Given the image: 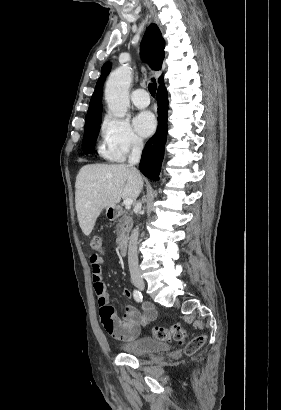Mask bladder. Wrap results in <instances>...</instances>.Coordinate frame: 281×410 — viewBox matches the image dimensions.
Returning a JSON list of instances; mask_svg holds the SVG:
<instances>
[{
	"label": "bladder",
	"mask_w": 281,
	"mask_h": 410,
	"mask_svg": "<svg viewBox=\"0 0 281 410\" xmlns=\"http://www.w3.org/2000/svg\"><path fill=\"white\" fill-rule=\"evenodd\" d=\"M120 349L123 353L134 356H145L155 353H163L169 351V345L156 338L142 336L132 342L122 344Z\"/></svg>",
	"instance_id": "bladder-1"
}]
</instances>
